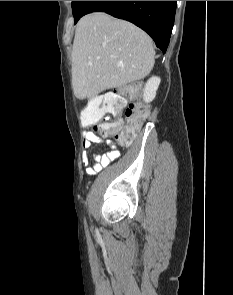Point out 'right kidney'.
I'll use <instances>...</instances> for the list:
<instances>
[{
  "instance_id": "1",
  "label": "right kidney",
  "mask_w": 233,
  "mask_h": 295,
  "mask_svg": "<svg viewBox=\"0 0 233 295\" xmlns=\"http://www.w3.org/2000/svg\"><path fill=\"white\" fill-rule=\"evenodd\" d=\"M160 81H161L160 78L156 76L151 77L147 81L143 89L144 102L149 103L154 100Z\"/></svg>"
}]
</instances>
